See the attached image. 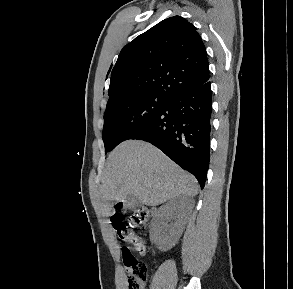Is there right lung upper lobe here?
<instances>
[{
	"instance_id": "cb5924a9",
	"label": "right lung upper lobe",
	"mask_w": 293,
	"mask_h": 289,
	"mask_svg": "<svg viewBox=\"0 0 293 289\" xmlns=\"http://www.w3.org/2000/svg\"><path fill=\"white\" fill-rule=\"evenodd\" d=\"M209 78L207 53L199 33L184 18L173 16L121 50L111 72L107 106L149 93L170 99L200 87Z\"/></svg>"
}]
</instances>
